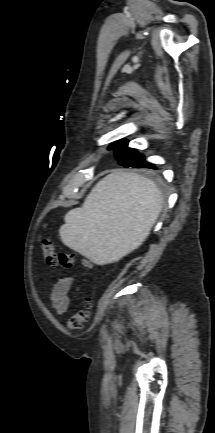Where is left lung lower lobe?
Masks as SVG:
<instances>
[{"mask_svg":"<svg viewBox=\"0 0 215 433\" xmlns=\"http://www.w3.org/2000/svg\"><path fill=\"white\" fill-rule=\"evenodd\" d=\"M127 167H134V168H141V167H145L143 164H138V163H131L129 164Z\"/></svg>","mask_w":215,"mask_h":433,"instance_id":"obj_1","label":"left lung lower lobe"}]
</instances>
